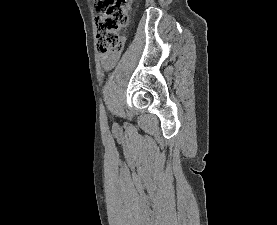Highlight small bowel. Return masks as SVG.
I'll use <instances>...</instances> for the list:
<instances>
[{"mask_svg":"<svg viewBox=\"0 0 277 225\" xmlns=\"http://www.w3.org/2000/svg\"><path fill=\"white\" fill-rule=\"evenodd\" d=\"M119 57H120V53H116V54H112V55H103L101 57V62H102L103 67L106 70L111 69L115 65V63L117 62Z\"/></svg>","mask_w":277,"mask_h":225,"instance_id":"small-bowel-1","label":"small bowel"}]
</instances>
